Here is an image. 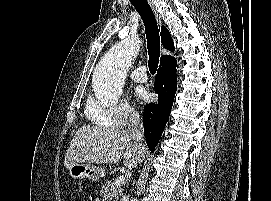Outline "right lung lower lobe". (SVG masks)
<instances>
[{
  "label": "right lung lower lobe",
  "mask_w": 271,
  "mask_h": 201,
  "mask_svg": "<svg viewBox=\"0 0 271 201\" xmlns=\"http://www.w3.org/2000/svg\"><path fill=\"white\" fill-rule=\"evenodd\" d=\"M177 61L170 60L160 65L155 79V91L158 93V103H150L144 108L143 124L146 142L153 152L169 119L177 90Z\"/></svg>",
  "instance_id": "obj_1"
}]
</instances>
